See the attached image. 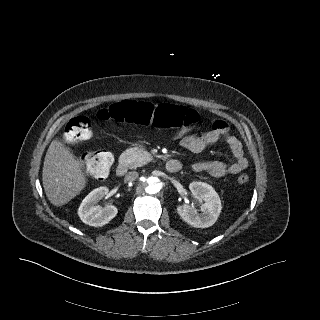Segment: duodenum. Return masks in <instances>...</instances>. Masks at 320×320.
<instances>
[{
	"instance_id": "1",
	"label": "duodenum",
	"mask_w": 320,
	"mask_h": 320,
	"mask_svg": "<svg viewBox=\"0 0 320 320\" xmlns=\"http://www.w3.org/2000/svg\"><path fill=\"white\" fill-rule=\"evenodd\" d=\"M182 168L181 163L176 159L168 160L165 164V169L169 173H177ZM128 172V166L124 161L118 163L116 167V174L120 177H123Z\"/></svg>"
}]
</instances>
